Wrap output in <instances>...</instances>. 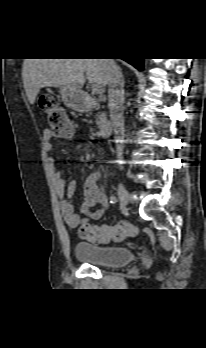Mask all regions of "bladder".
Masks as SVG:
<instances>
[{"label": "bladder", "mask_w": 206, "mask_h": 348, "mask_svg": "<svg viewBox=\"0 0 206 348\" xmlns=\"http://www.w3.org/2000/svg\"><path fill=\"white\" fill-rule=\"evenodd\" d=\"M74 255L85 263L103 266L129 264L135 258L132 251L126 247L96 245L86 242L75 244Z\"/></svg>", "instance_id": "obj_1"}]
</instances>
